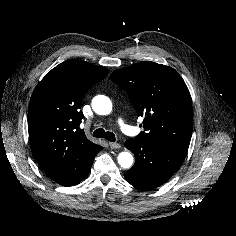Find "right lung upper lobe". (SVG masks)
Segmentation results:
<instances>
[{"label":"right lung upper lobe","instance_id":"cb5924a9","mask_svg":"<svg viewBox=\"0 0 236 236\" xmlns=\"http://www.w3.org/2000/svg\"><path fill=\"white\" fill-rule=\"evenodd\" d=\"M108 72L70 59L49 71L36 86L29 104L28 132L32 153L42 170L92 155L101 148L80 129V108L88 89Z\"/></svg>","mask_w":236,"mask_h":236}]
</instances>
